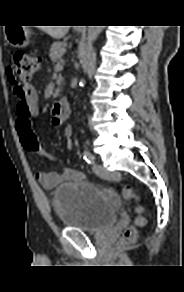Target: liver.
Here are the masks:
<instances>
[{"mask_svg":"<svg viewBox=\"0 0 184 292\" xmlns=\"http://www.w3.org/2000/svg\"><path fill=\"white\" fill-rule=\"evenodd\" d=\"M70 26H42L41 30L50 35L54 39L63 38Z\"/></svg>","mask_w":184,"mask_h":292,"instance_id":"1","label":"liver"}]
</instances>
